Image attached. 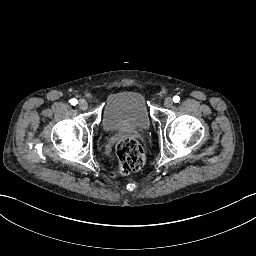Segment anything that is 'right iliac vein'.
<instances>
[{
	"label": "right iliac vein",
	"instance_id": "1",
	"mask_svg": "<svg viewBox=\"0 0 256 256\" xmlns=\"http://www.w3.org/2000/svg\"><path fill=\"white\" fill-rule=\"evenodd\" d=\"M78 106L82 111H85L88 108V101L81 99Z\"/></svg>",
	"mask_w": 256,
	"mask_h": 256
}]
</instances>
